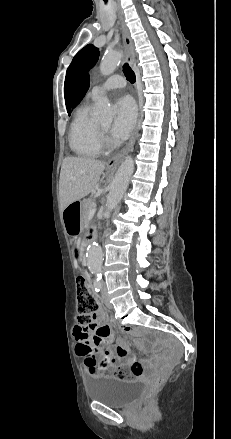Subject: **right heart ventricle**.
<instances>
[{
	"instance_id": "1",
	"label": "right heart ventricle",
	"mask_w": 231,
	"mask_h": 439,
	"mask_svg": "<svg viewBox=\"0 0 231 439\" xmlns=\"http://www.w3.org/2000/svg\"><path fill=\"white\" fill-rule=\"evenodd\" d=\"M70 149L79 157L94 158L102 150L98 123L92 118L87 104L80 105L73 116L69 131Z\"/></svg>"
}]
</instances>
